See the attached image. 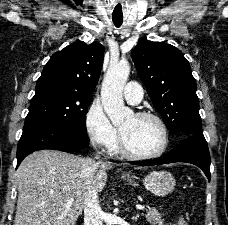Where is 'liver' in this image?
<instances>
[{"label": "liver", "mask_w": 228, "mask_h": 225, "mask_svg": "<svg viewBox=\"0 0 228 225\" xmlns=\"http://www.w3.org/2000/svg\"><path fill=\"white\" fill-rule=\"evenodd\" d=\"M116 163H99L61 151H36L15 173L18 185L14 225H75L85 207L87 185L96 191L106 183V171ZM73 199V201H70Z\"/></svg>", "instance_id": "liver-1"}]
</instances>
